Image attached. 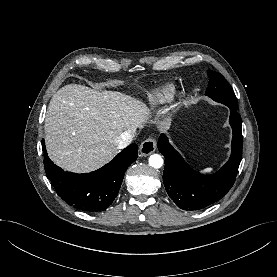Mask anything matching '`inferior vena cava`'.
I'll list each match as a JSON object with an SVG mask.
<instances>
[{
	"instance_id": "obj_1",
	"label": "inferior vena cava",
	"mask_w": 277,
	"mask_h": 277,
	"mask_svg": "<svg viewBox=\"0 0 277 277\" xmlns=\"http://www.w3.org/2000/svg\"><path fill=\"white\" fill-rule=\"evenodd\" d=\"M136 130H128L123 132L117 139V147L119 149L125 148L127 145H129L132 141V139L135 137Z\"/></svg>"
}]
</instances>
